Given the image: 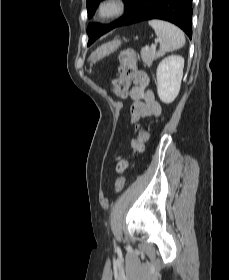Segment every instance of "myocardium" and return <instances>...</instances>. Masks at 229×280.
<instances>
[{
  "label": "myocardium",
  "instance_id": "f54148a6",
  "mask_svg": "<svg viewBox=\"0 0 229 280\" xmlns=\"http://www.w3.org/2000/svg\"><path fill=\"white\" fill-rule=\"evenodd\" d=\"M128 8L126 0H101L95 9V18L108 22L123 16Z\"/></svg>",
  "mask_w": 229,
  "mask_h": 280
}]
</instances>
